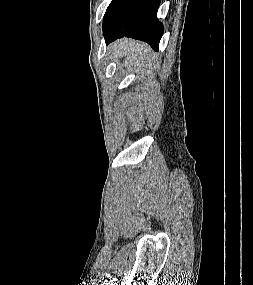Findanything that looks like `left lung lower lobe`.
<instances>
[{
	"label": "left lung lower lobe",
	"mask_w": 253,
	"mask_h": 285,
	"mask_svg": "<svg viewBox=\"0 0 253 285\" xmlns=\"http://www.w3.org/2000/svg\"><path fill=\"white\" fill-rule=\"evenodd\" d=\"M159 2L160 0H112L103 20L106 43L125 36L145 41L158 50L164 30L156 16Z\"/></svg>",
	"instance_id": "1"
}]
</instances>
